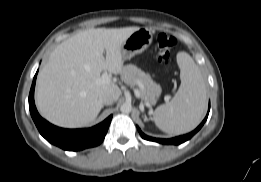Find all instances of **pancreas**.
I'll return each mask as SVG.
<instances>
[{"label":"pancreas","mask_w":261,"mask_h":182,"mask_svg":"<svg viewBox=\"0 0 261 182\" xmlns=\"http://www.w3.org/2000/svg\"><path fill=\"white\" fill-rule=\"evenodd\" d=\"M122 79L131 87L141 86L142 96L146 103L154 105L161 93V87L151 77L135 65L129 64L124 67Z\"/></svg>","instance_id":"cf45deb5"}]
</instances>
